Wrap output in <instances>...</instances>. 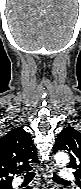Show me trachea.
I'll list each match as a JSON object with an SVG mask.
<instances>
[{
	"label": "trachea",
	"instance_id": "1",
	"mask_svg": "<svg viewBox=\"0 0 81 189\" xmlns=\"http://www.w3.org/2000/svg\"><path fill=\"white\" fill-rule=\"evenodd\" d=\"M25 176L26 177H34L35 176V172L28 171ZM53 180L59 181V182H67V181H64L62 178H60L59 176H57L56 174H53Z\"/></svg>",
	"mask_w": 81,
	"mask_h": 189
}]
</instances>
